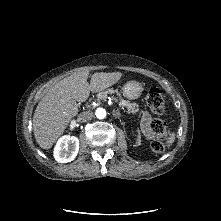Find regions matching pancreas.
<instances>
[{
	"instance_id": "obj_1",
	"label": "pancreas",
	"mask_w": 221,
	"mask_h": 221,
	"mask_svg": "<svg viewBox=\"0 0 221 221\" xmlns=\"http://www.w3.org/2000/svg\"><path fill=\"white\" fill-rule=\"evenodd\" d=\"M116 93L117 97H119V105L122 108H126L128 113H137L139 111V106L136 103H131L121 97V94L117 90L107 89L101 93H99V97L101 99H106L109 94Z\"/></svg>"
}]
</instances>
